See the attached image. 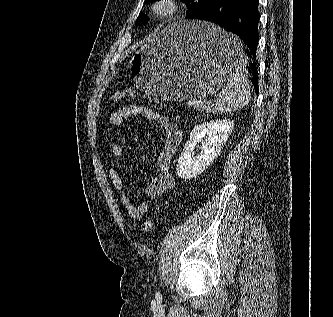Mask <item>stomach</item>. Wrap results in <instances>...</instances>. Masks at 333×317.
Segmentation results:
<instances>
[{
  "mask_svg": "<svg viewBox=\"0 0 333 317\" xmlns=\"http://www.w3.org/2000/svg\"><path fill=\"white\" fill-rule=\"evenodd\" d=\"M204 21L172 23L131 57L135 85L169 101L203 100L231 81L248 62L244 45L231 29Z\"/></svg>",
  "mask_w": 333,
  "mask_h": 317,
  "instance_id": "obj_1",
  "label": "stomach"
}]
</instances>
